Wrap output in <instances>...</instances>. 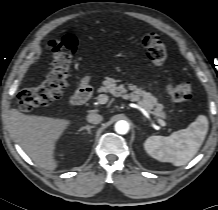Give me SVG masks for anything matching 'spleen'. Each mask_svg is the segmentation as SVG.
Masks as SVG:
<instances>
[{"mask_svg":"<svg viewBox=\"0 0 218 210\" xmlns=\"http://www.w3.org/2000/svg\"><path fill=\"white\" fill-rule=\"evenodd\" d=\"M208 131V119L199 115L186 129L170 136H150L144 142L146 152L161 162L174 166L188 163L198 152Z\"/></svg>","mask_w":218,"mask_h":210,"instance_id":"spleen-1","label":"spleen"}]
</instances>
